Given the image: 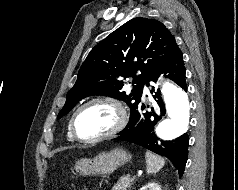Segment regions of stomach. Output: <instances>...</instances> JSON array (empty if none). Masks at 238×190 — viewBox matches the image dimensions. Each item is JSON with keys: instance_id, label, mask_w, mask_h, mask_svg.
Instances as JSON below:
<instances>
[{"instance_id": "stomach-1", "label": "stomach", "mask_w": 238, "mask_h": 190, "mask_svg": "<svg viewBox=\"0 0 238 190\" xmlns=\"http://www.w3.org/2000/svg\"><path fill=\"white\" fill-rule=\"evenodd\" d=\"M132 155L121 148L110 152L99 153L93 159L82 158L75 164V170L82 176H106L113 173L120 166L128 163Z\"/></svg>"}]
</instances>
